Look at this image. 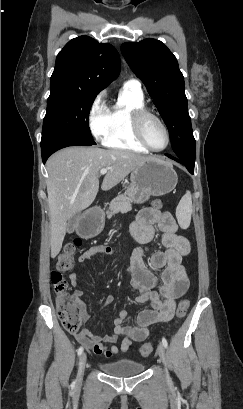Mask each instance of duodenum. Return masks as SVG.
Listing matches in <instances>:
<instances>
[{
	"instance_id": "duodenum-1",
	"label": "duodenum",
	"mask_w": 243,
	"mask_h": 409,
	"mask_svg": "<svg viewBox=\"0 0 243 409\" xmlns=\"http://www.w3.org/2000/svg\"><path fill=\"white\" fill-rule=\"evenodd\" d=\"M96 212H97V214L98 215H102L103 214V211H102V209L100 208V207H95V209H94Z\"/></svg>"
}]
</instances>
